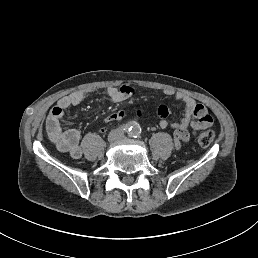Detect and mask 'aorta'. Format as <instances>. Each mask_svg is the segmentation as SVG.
I'll use <instances>...</instances> for the list:
<instances>
[{"instance_id":"1","label":"aorta","mask_w":258,"mask_h":258,"mask_svg":"<svg viewBox=\"0 0 258 258\" xmlns=\"http://www.w3.org/2000/svg\"><path fill=\"white\" fill-rule=\"evenodd\" d=\"M137 130H138V129H137V127L135 126V127H134V131L137 132Z\"/></svg>"}]
</instances>
